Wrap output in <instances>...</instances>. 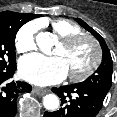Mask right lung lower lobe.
I'll return each instance as SVG.
<instances>
[{
    "mask_svg": "<svg viewBox=\"0 0 117 117\" xmlns=\"http://www.w3.org/2000/svg\"><path fill=\"white\" fill-rule=\"evenodd\" d=\"M16 70V65L0 70V117H14L16 114V100L19 93L30 92L31 85L26 82L5 83Z\"/></svg>",
    "mask_w": 117,
    "mask_h": 117,
    "instance_id": "1",
    "label": "right lung lower lobe"
}]
</instances>
